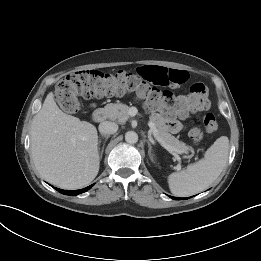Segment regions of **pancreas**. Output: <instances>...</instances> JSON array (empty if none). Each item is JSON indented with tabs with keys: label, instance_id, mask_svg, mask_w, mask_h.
<instances>
[{
	"label": "pancreas",
	"instance_id": "pancreas-1",
	"mask_svg": "<svg viewBox=\"0 0 261 261\" xmlns=\"http://www.w3.org/2000/svg\"><path fill=\"white\" fill-rule=\"evenodd\" d=\"M129 109V106L122 103H110L105 106L108 118L110 120L117 121L120 124L125 123L128 120ZM151 120L155 123L157 136L161 138L166 144L175 148L178 153H187L188 151L193 150L192 147L187 146L184 142L179 141L176 137L164 130L157 122L155 116H152Z\"/></svg>",
	"mask_w": 261,
	"mask_h": 261
}]
</instances>
